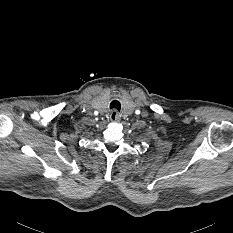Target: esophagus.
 <instances>
[{"mask_svg":"<svg viewBox=\"0 0 233 233\" xmlns=\"http://www.w3.org/2000/svg\"><path fill=\"white\" fill-rule=\"evenodd\" d=\"M120 114L118 113V111L116 110H112L110 112V115H109V119L112 121V122H119L120 120Z\"/></svg>","mask_w":233,"mask_h":233,"instance_id":"34e87169","label":"esophagus"}]
</instances>
